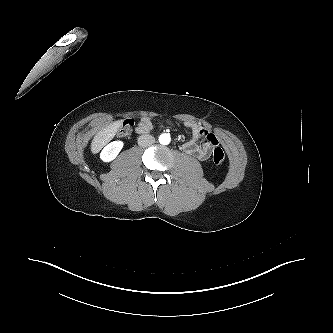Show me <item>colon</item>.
I'll list each match as a JSON object with an SVG mask.
<instances>
[{
    "label": "colon",
    "mask_w": 333,
    "mask_h": 333,
    "mask_svg": "<svg viewBox=\"0 0 333 333\" xmlns=\"http://www.w3.org/2000/svg\"><path fill=\"white\" fill-rule=\"evenodd\" d=\"M134 122L133 120H126L118 131L119 137H128L133 132ZM225 155L220 147H215L212 152V161L215 165H220L224 162Z\"/></svg>",
    "instance_id": "obj_1"
}]
</instances>
